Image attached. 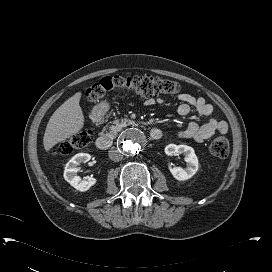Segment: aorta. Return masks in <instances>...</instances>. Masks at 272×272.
<instances>
[{"instance_id": "1", "label": "aorta", "mask_w": 272, "mask_h": 272, "mask_svg": "<svg viewBox=\"0 0 272 272\" xmlns=\"http://www.w3.org/2000/svg\"><path fill=\"white\" fill-rule=\"evenodd\" d=\"M119 144L126 154L137 155L146 147L147 138L142 130L130 128L122 135Z\"/></svg>"}]
</instances>
